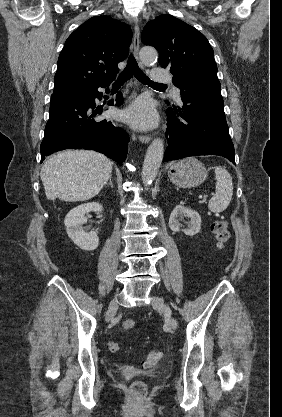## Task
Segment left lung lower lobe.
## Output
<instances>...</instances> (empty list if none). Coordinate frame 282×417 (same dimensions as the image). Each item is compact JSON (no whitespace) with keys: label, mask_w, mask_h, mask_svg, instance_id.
<instances>
[{"label":"left lung lower lobe","mask_w":282,"mask_h":417,"mask_svg":"<svg viewBox=\"0 0 282 417\" xmlns=\"http://www.w3.org/2000/svg\"><path fill=\"white\" fill-rule=\"evenodd\" d=\"M181 100L182 108L174 106L167 110L168 146L163 162L195 155H219L235 164L220 87L191 84L184 89Z\"/></svg>","instance_id":"1"}]
</instances>
